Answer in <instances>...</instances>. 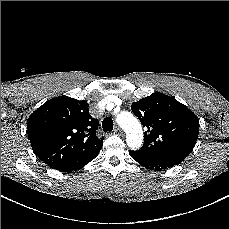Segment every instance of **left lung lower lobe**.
<instances>
[{"label": "left lung lower lobe", "mask_w": 229, "mask_h": 229, "mask_svg": "<svg viewBox=\"0 0 229 229\" xmlns=\"http://www.w3.org/2000/svg\"><path fill=\"white\" fill-rule=\"evenodd\" d=\"M130 156L139 164H141L143 167L155 170V171H162L168 168H172L178 164H180V161H174V160H155V159H148L144 157L137 156L133 152H129Z\"/></svg>", "instance_id": "obj_1"}]
</instances>
